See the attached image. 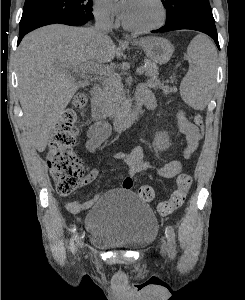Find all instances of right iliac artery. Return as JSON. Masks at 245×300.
Listing matches in <instances>:
<instances>
[{
	"instance_id": "1",
	"label": "right iliac artery",
	"mask_w": 245,
	"mask_h": 300,
	"mask_svg": "<svg viewBox=\"0 0 245 300\" xmlns=\"http://www.w3.org/2000/svg\"><path fill=\"white\" fill-rule=\"evenodd\" d=\"M75 231H76V227L74 226V227H72L71 228V232L74 234L73 236H72V238H71V240H70V245H71V250L72 251H74V240L76 239V236H75Z\"/></svg>"
}]
</instances>
